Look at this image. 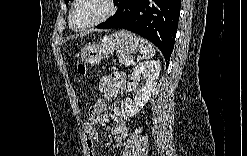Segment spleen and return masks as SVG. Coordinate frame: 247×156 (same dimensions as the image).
<instances>
[{"label": "spleen", "instance_id": "spleen-1", "mask_svg": "<svg viewBox=\"0 0 247 156\" xmlns=\"http://www.w3.org/2000/svg\"><path fill=\"white\" fill-rule=\"evenodd\" d=\"M140 42V57L142 59H150L155 54V49L153 45L146 39L139 37Z\"/></svg>", "mask_w": 247, "mask_h": 156}]
</instances>
